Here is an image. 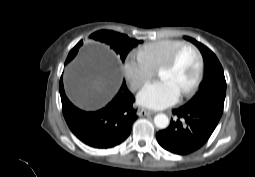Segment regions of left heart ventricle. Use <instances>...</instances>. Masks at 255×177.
Masks as SVG:
<instances>
[{
  "instance_id": "b2bd125f",
  "label": "left heart ventricle",
  "mask_w": 255,
  "mask_h": 177,
  "mask_svg": "<svg viewBox=\"0 0 255 177\" xmlns=\"http://www.w3.org/2000/svg\"><path fill=\"white\" fill-rule=\"evenodd\" d=\"M197 70L198 57L192 49L187 48L181 53L173 68L160 70L158 76L161 79L169 80L177 90L182 93L190 87L195 80Z\"/></svg>"
}]
</instances>
